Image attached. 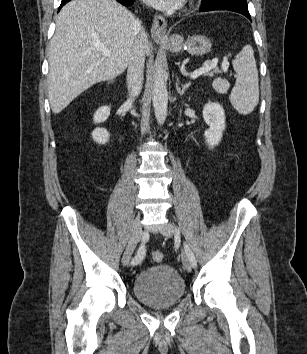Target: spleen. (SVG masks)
I'll list each match as a JSON object with an SVG mask.
<instances>
[{"label":"spleen","instance_id":"spleen-1","mask_svg":"<svg viewBox=\"0 0 307 354\" xmlns=\"http://www.w3.org/2000/svg\"><path fill=\"white\" fill-rule=\"evenodd\" d=\"M237 74L236 83L229 96L230 102L240 114H250L259 102V78L254 51L245 45L232 61ZM214 89L219 93L228 91L227 80L217 79L213 82Z\"/></svg>","mask_w":307,"mask_h":354}]
</instances>
